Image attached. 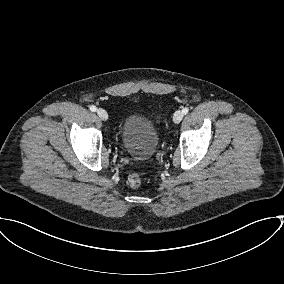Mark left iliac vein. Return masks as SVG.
Here are the masks:
<instances>
[{
    "mask_svg": "<svg viewBox=\"0 0 284 284\" xmlns=\"http://www.w3.org/2000/svg\"><path fill=\"white\" fill-rule=\"evenodd\" d=\"M184 114L182 113V111L178 110L174 113L173 115V121L174 123L178 124L181 122V120L183 119Z\"/></svg>",
    "mask_w": 284,
    "mask_h": 284,
    "instance_id": "4c4485c4",
    "label": "left iliac vein"
}]
</instances>
